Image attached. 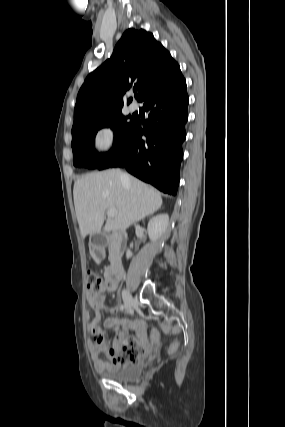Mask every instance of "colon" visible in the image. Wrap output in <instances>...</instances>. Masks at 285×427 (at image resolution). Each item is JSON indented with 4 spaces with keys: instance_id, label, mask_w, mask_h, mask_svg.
Returning <instances> with one entry per match:
<instances>
[{
    "instance_id": "obj_1",
    "label": "colon",
    "mask_w": 285,
    "mask_h": 427,
    "mask_svg": "<svg viewBox=\"0 0 285 427\" xmlns=\"http://www.w3.org/2000/svg\"><path fill=\"white\" fill-rule=\"evenodd\" d=\"M87 289L90 293L98 294L104 291L105 283L104 281L93 271H87L86 278ZM156 333H152V339L156 340ZM98 342L101 343V338L98 339ZM145 353V348L139 343L136 338H129L128 341L122 345L119 362L120 363H133L136 362L143 354Z\"/></svg>"
}]
</instances>
